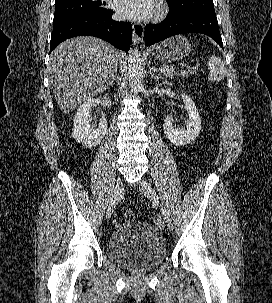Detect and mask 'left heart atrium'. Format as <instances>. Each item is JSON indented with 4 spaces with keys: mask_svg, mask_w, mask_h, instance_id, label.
Masks as SVG:
<instances>
[{
    "mask_svg": "<svg viewBox=\"0 0 272 303\" xmlns=\"http://www.w3.org/2000/svg\"><path fill=\"white\" fill-rule=\"evenodd\" d=\"M115 9L122 18L146 20L157 11V0H116Z\"/></svg>",
    "mask_w": 272,
    "mask_h": 303,
    "instance_id": "39dd6f15",
    "label": "left heart atrium"
}]
</instances>
